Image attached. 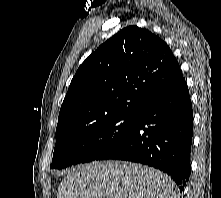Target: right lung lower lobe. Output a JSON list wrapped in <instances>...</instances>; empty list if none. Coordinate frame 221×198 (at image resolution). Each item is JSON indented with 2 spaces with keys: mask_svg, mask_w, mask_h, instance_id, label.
Wrapping results in <instances>:
<instances>
[{
  "mask_svg": "<svg viewBox=\"0 0 221 198\" xmlns=\"http://www.w3.org/2000/svg\"><path fill=\"white\" fill-rule=\"evenodd\" d=\"M193 111L186 81L152 100L133 129L95 160L119 159L143 163L169 174L183 191L191 170Z\"/></svg>",
  "mask_w": 221,
  "mask_h": 198,
  "instance_id": "98d812e1",
  "label": "right lung lower lobe"
}]
</instances>
